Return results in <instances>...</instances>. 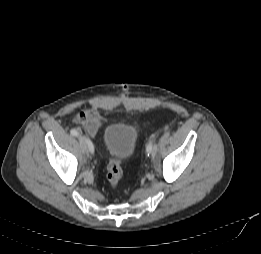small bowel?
<instances>
[{
	"mask_svg": "<svg viewBox=\"0 0 261 254\" xmlns=\"http://www.w3.org/2000/svg\"><path fill=\"white\" fill-rule=\"evenodd\" d=\"M106 119L95 109H86L73 117V122L83 126L90 136H94Z\"/></svg>",
	"mask_w": 261,
	"mask_h": 254,
	"instance_id": "obj_1",
	"label": "small bowel"
}]
</instances>
